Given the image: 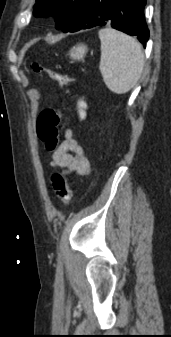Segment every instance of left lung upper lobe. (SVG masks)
I'll use <instances>...</instances> for the list:
<instances>
[{
	"label": "left lung upper lobe",
	"instance_id": "obj_1",
	"mask_svg": "<svg viewBox=\"0 0 171 337\" xmlns=\"http://www.w3.org/2000/svg\"><path fill=\"white\" fill-rule=\"evenodd\" d=\"M85 0H36L34 16L55 17L57 29L68 32L76 23Z\"/></svg>",
	"mask_w": 171,
	"mask_h": 337
}]
</instances>
